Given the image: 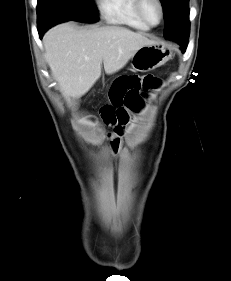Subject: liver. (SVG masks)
<instances>
[{
    "mask_svg": "<svg viewBox=\"0 0 231 281\" xmlns=\"http://www.w3.org/2000/svg\"><path fill=\"white\" fill-rule=\"evenodd\" d=\"M156 44L119 26L79 29L70 23L51 28L43 38L44 56L67 102L87 93L101 76L122 69L141 47Z\"/></svg>",
    "mask_w": 231,
    "mask_h": 281,
    "instance_id": "1",
    "label": "liver"
}]
</instances>
